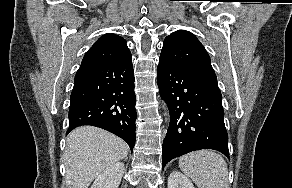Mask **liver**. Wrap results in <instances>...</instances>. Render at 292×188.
I'll list each match as a JSON object with an SVG mask.
<instances>
[{"mask_svg": "<svg viewBox=\"0 0 292 188\" xmlns=\"http://www.w3.org/2000/svg\"><path fill=\"white\" fill-rule=\"evenodd\" d=\"M66 143L67 188H88L105 168L126 158L129 151L125 141L92 126L74 129Z\"/></svg>", "mask_w": 292, "mask_h": 188, "instance_id": "1", "label": "liver"}]
</instances>
